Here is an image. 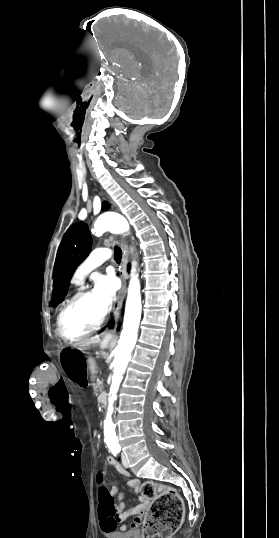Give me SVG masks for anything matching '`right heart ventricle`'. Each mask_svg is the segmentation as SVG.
<instances>
[{
  "label": "right heart ventricle",
  "instance_id": "right-heart-ventricle-1",
  "mask_svg": "<svg viewBox=\"0 0 279 538\" xmlns=\"http://www.w3.org/2000/svg\"><path fill=\"white\" fill-rule=\"evenodd\" d=\"M100 222H101V218L99 216V213L97 211H95L93 216H92V221H91V231H92L93 234H95L97 232V228H98V225L100 224ZM74 282L79 283V282H76L75 280H74ZM71 298H72V296L67 299L66 304Z\"/></svg>",
  "mask_w": 279,
  "mask_h": 538
}]
</instances>
